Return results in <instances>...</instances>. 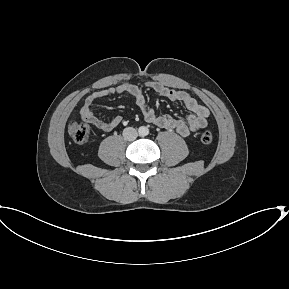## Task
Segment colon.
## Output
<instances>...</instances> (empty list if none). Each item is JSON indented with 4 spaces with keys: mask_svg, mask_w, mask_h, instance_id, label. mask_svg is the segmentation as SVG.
<instances>
[{
    "mask_svg": "<svg viewBox=\"0 0 289 289\" xmlns=\"http://www.w3.org/2000/svg\"><path fill=\"white\" fill-rule=\"evenodd\" d=\"M68 133L71 138L78 144L87 142L90 126L86 121L72 120L68 124ZM213 140V134L210 131H203L200 135V141L203 144H210Z\"/></svg>",
    "mask_w": 289,
    "mask_h": 289,
    "instance_id": "1",
    "label": "colon"
}]
</instances>
